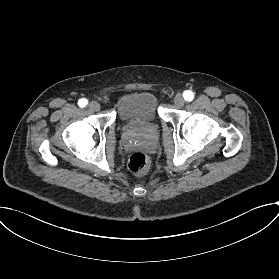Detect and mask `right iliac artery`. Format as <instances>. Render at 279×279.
<instances>
[{"label": "right iliac artery", "mask_w": 279, "mask_h": 279, "mask_svg": "<svg viewBox=\"0 0 279 279\" xmlns=\"http://www.w3.org/2000/svg\"><path fill=\"white\" fill-rule=\"evenodd\" d=\"M88 104V100L86 98H82L78 101L79 107L83 108Z\"/></svg>", "instance_id": "right-iliac-artery-1"}]
</instances>
